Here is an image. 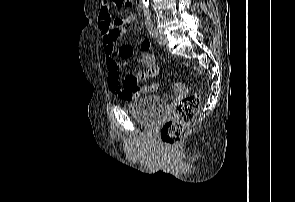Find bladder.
I'll use <instances>...</instances> for the list:
<instances>
[{
    "instance_id": "bladder-1",
    "label": "bladder",
    "mask_w": 295,
    "mask_h": 202,
    "mask_svg": "<svg viewBox=\"0 0 295 202\" xmlns=\"http://www.w3.org/2000/svg\"><path fill=\"white\" fill-rule=\"evenodd\" d=\"M135 120L146 126L159 123L167 113L166 101L158 96L151 95L138 99L130 108Z\"/></svg>"
}]
</instances>
